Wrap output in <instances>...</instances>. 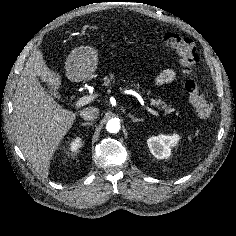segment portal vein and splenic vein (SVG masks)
<instances>
[{
	"mask_svg": "<svg viewBox=\"0 0 236 236\" xmlns=\"http://www.w3.org/2000/svg\"><path fill=\"white\" fill-rule=\"evenodd\" d=\"M97 95H85L83 97H81L75 104L76 108H80L81 106H84L88 103H90ZM145 109L151 113L154 116L159 117V113L155 110H153L152 108L145 106Z\"/></svg>",
	"mask_w": 236,
	"mask_h": 236,
	"instance_id": "obj_1",
	"label": "portal vein and splenic vein"
}]
</instances>
